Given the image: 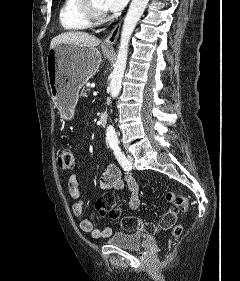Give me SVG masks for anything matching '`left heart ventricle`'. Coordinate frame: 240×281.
Returning <instances> with one entry per match:
<instances>
[{
	"label": "left heart ventricle",
	"instance_id": "left-heart-ventricle-1",
	"mask_svg": "<svg viewBox=\"0 0 240 281\" xmlns=\"http://www.w3.org/2000/svg\"><path fill=\"white\" fill-rule=\"evenodd\" d=\"M95 4L100 7V8H104V0H94Z\"/></svg>",
	"mask_w": 240,
	"mask_h": 281
}]
</instances>
